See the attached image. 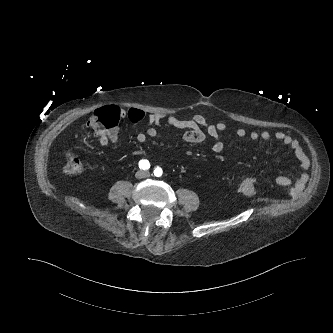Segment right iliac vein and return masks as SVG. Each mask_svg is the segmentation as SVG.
Instances as JSON below:
<instances>
[{
    "label": "right iliac vein",
    "mask_w": 333,
    "mask_h": 333,
    "mask_svg": "<svg viewBox=\"0 0 333 333\" xmlns=\"http://www.w3.org/2000/svg\"><path fill=\"white\" fill-rule=\"evenodd\" d=\"M135 176H136L137 178H143V177H145V171H143V170H138V171L136 172Z\"/></svg>",
    "instance_id": "right-iliac-vein-1"
}]
</instances>
